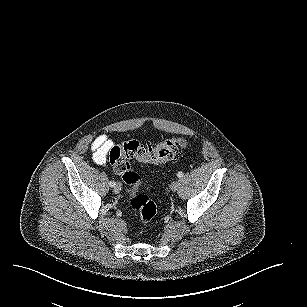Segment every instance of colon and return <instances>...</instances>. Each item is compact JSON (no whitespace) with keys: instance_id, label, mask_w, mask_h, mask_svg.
Segmentation results:
<instances>
[{"instance_id":"1","label":"colon","mask_w":307,"mask_h":307,"mask_svg":"<svg viewBox=\"0 0 307 307\" xmlns=\"http://www.w3.org/2000/svg\"><path fill=\"white\" fill-rule=\"evenodd\" d=\"M185 146V139L173 137L156 145H143L136 140H130L110 149L109 162L127 185L129 205L139 214L144 226L154 219L157 207L148 195L140 192L141 177L131 168L129 160L143 164L166 165L174 160Z\"/></svg>"}]
</instances>
